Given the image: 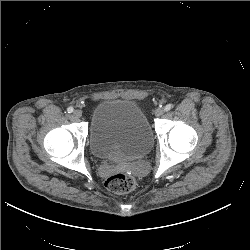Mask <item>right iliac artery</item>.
<instances>
[{"instance_id": "1", "label": "right iliac artery", "mask_w": 250, "mask_h": 250, "mask_svg": "<svg viewBox=\"0 0 250 250\" xmlns=\"http://www.w3.org/2000/svg\"><path fill=\"white\" fill-rule=\"evenodd\" d=\"M73 110H74L73 107H68V108H67L68 113H72Z\"/></svg>"}]
</instances>
